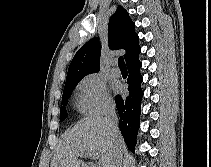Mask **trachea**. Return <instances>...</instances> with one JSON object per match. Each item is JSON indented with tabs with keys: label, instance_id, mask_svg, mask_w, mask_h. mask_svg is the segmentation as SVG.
Returning <instances> with one entry per match:
<instances>
[{
	"label": "trachea",
	"instance_id": "1",
	"mask_svg": "<svg viewBox=\"0 0 211 167\" xmlns=\"http://www.w3.org/2000/svg\"><path fill=\"white\" fill-rule=\"evenodd\" d=\"M118 65H119V68L120 69H126V65H125V62H124V58L123 57H119L118 58Z\"/></svg>",
	"mask_w": 211,
	"mask_h": 167
}]
</instances>
